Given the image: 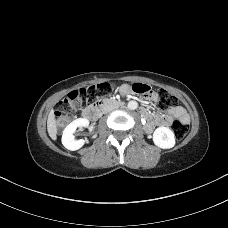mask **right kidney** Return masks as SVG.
<instances>
[{"label": "right kidney", "mask_w": 228, "mask_h": 228, "mask_svg": "<svg viewBox=\"0 0 228 228\" xmlns=\"http://www.w3.org/2000/svg\"><path fill=\"white\" fill-rule=\"evenodd\" d=\"M88 126H89V120L86 118H78L72 121L70 124H68L64 129L63 135H62L63 146L70 151H75L80 149L85 144V140L83 139L76 140L73 134L78 127H88Z\"/></svg>", "instance_id": "1"}]
</instances>
